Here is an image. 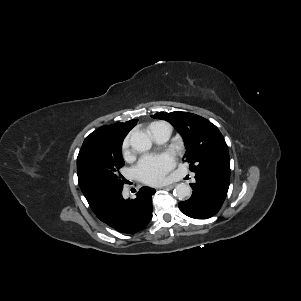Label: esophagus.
Returning <instances> with one entry per match:
<instances>
[{
	"label": "esophagus",
	"mask_w": 301,
	"mask_h": 301,
	"mask_svg": "<svg viewBox=\"0 0 301 301\" xmlns=\"http://www.w3.org/2000/svg\"><path fill=\"white\" fill-rule=\"evenodd\" d=\"M175 184H169V185H165V186H162L160 187L161 189H172L174 188Z\"/></svg>",
	"instance_id": "34e87169"
}]
</instances>
